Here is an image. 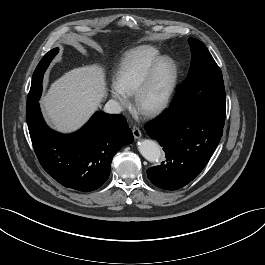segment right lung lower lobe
Listing matches in <instances>:
<instances>
[{
    "label": "right lung lower lobe",
    "instance_id": "obj_1",
    "mask_svg": "<svg viewBox=\"0 0 265 265\" xmlns=\"http://www.w3.org/2000/svg\"><path fill=\"white\" fill-rule=\"evenodd\" d=\"M35 153L44 170L67 188L94 191L108 179L114 155L133 142L122 115L96 112L73 134H60L44 122L39 103L26 108Z\"/></svg>",
    "mask_w": 265,
    "mask_h": 265
}]
</instances>
